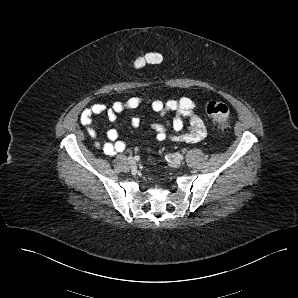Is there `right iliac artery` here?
I'll return each mask as SVG.
<instances>
[{"instance_id":"obj_1","label":"right iliac artery","mask_w":298,"mask_h":298,"mask_svg":"<svg viewBox=\"0 0 298 298\" xmlns=\"http://www.w3.org/2000/svg\"><path fill=\"white\" fill-rule=\"evenodd\" d=\"M134 159H135L136 161H138L140 158H139L138 155H136V156L134 157Z\"/></svg>"}]
</instances>
